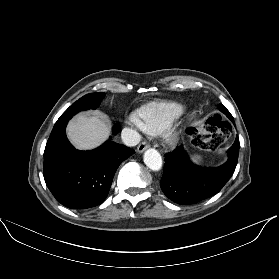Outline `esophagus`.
<instances>
[{"label": "esophagus", "instance_id": "1", "mask_svg": "<svg viewBox=\"0 0 279 279\" xmlns=\"http://www.w3.org/2000/svg\"><path fill=\"white\" fill-rule=\"evenodd\" d=\"M148 146H149V145H148L146 142H142V143H140L139 146L137 147V151H138L139 153H142L145 149L148 148Z\"/></svg>", "mask_w": 279, "mask_h": 279}]
</instances>
